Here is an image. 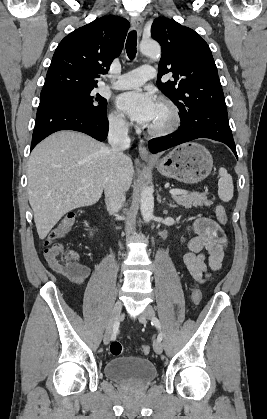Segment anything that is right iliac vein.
<instances>
[{"label": "right iliac vein", "instance_id": "1", "mask_svg": "<svg viewBox=\"0 0 267 419\" xmlns=\"http://www.w3.org/2000/svg\"><path fill=\"white\" fill-rule=\"evenodd\" d=\"M121 311L122 303L120 301H117L112 309L109 323L104 334L103 342L105 345H107L110 342L113 326L116 322H118Z\"/></svg>", "mask_w": 267, "mask_h": 419}]
</instances>
